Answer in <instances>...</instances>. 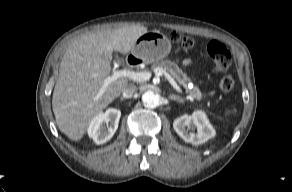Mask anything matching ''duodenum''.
Segmentation results:
<instances>
[{
  "label": "duodenum",
  "mask_w": 292,
  "mask_h": 192,
  "mask_svg": "<svg viewBox=\"0 0 292 192\" xmlns=\"http://www.w3.org/2000/svg\"><path fill=\"white\" fill-rule=\"evenodd\" d=\"M127 63L131 66H134V65H137L140 63V60L137 56H134V55H129L127 57Z\"/></svg>",
  "instance_id": "obj_1"
}]
</instances>
